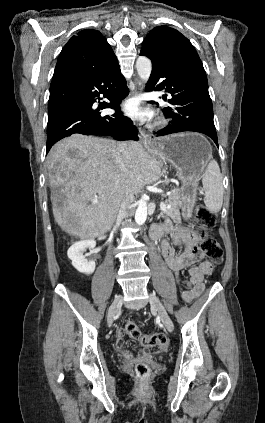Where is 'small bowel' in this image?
Returning <instances> with one entry per match:
<instances>
[{"instance_id": "c3829d8e", "label": "small bowel", "mask_w": 265, "mask_h": 423, "mask_svg": "<svg viewBox=\"0 0 265 423\" xmlns=\"http://www.w3.org/2000/svg\"><path fill=\"white\" fill-rule=\"evenodd\" d=\"M164 232L161 243L162 254L171 271L175 273L178 285L183 288L182 298L185 302H191L198 297L204 289L203 278L211 273V264L202 259L199 252V236L187 227L174 226L171 219H166L163 224L155 226ZM174 246H184L182 253L177 254ZM188 269L189 279L183 282L181 271ZM117 351L127 360L132 358L131 353L124 345L123 330L117 331Z\"/></svg>"}]
</instances>
